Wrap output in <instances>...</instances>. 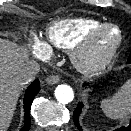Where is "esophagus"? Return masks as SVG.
<instances>
[{"instance_id":"esophagus-1","label":"esophagus","mask_w":131,"mask_h":131,"mask_svg":"<svg viewBox=\"0 0 131 131\" xmlns=\"http://www.w3.org/2000/svg\"><path fill=\"white\" fill-rule=\"evenodd\" d=\"M60 81V77L58 75H51L46 79V82L49 85L57 84Z\"/></svg>"}]
</instances>
